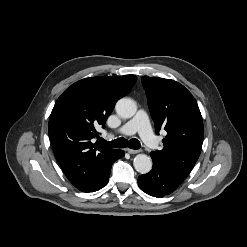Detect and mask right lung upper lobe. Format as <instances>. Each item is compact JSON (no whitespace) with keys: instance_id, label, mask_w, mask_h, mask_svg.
Instances as JSON below:
<instances>
[{"instance_id":"1","label":"right lung upper lobe","mask_w":247,"mask_h":247,"mask_svg":"<svg viewBox=\"0 0 247 247\" xmlns=\"http://www.w3.org/2000/svg\"><path fill=\"white\" fill-rule=\"evenodd\" d=\"M135 82V75L85 78L71 85L54 105L48 126L52 148L68 180L82 192L95 186L113 163L118 150L98 147L91 139Z\"/></svg>"}]
</instances>
